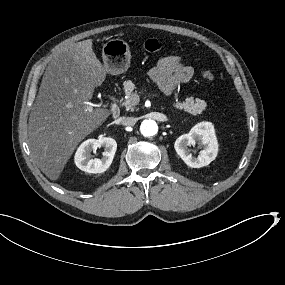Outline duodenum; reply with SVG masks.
Wrapping results in <instances>:
<instances>
[{
	"label": "duodenum",
	"instance_id": "obj_1",
	"mask_svg": "<svg viewBox=\"0 0 285 285\" xmlns=\"http://www.w3.org/2000/svg\"><path fill=\"white\" fill-rule=\"evenodd\" d=\"M111 113H112L113 117H117L119 115V108L116 104H113L111 106Z\"/></svg>",
	"mask_w": 285,
	"mask_h": 285
}]
</instances>
